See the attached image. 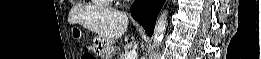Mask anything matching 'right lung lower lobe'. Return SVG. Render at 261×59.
I'll use <instances>...</instances> for the list:
<instances>
[{"label": "right lung lower lobe", "mask_w": 261, "mask_h": 59, "mask_svg": "<svg viewBox=\"0 0 261 59\" xmlns=\"http://www.w3.org/2000/svg\"><path fill=\"white\" fill-rule=\"evenodd\" d=\"M165 0H137L131 7L132 17L152 36L158 13Z\"/></svg>", "instance_id": "98d812e1"}]
</instances>
